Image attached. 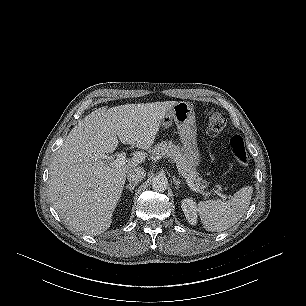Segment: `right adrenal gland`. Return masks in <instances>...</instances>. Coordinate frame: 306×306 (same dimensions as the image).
Segmentation results:
<instances>
[{
	"instance_id": "obj_1",
	"label": "right adrenal gland",
	"mask_w": 306,
	"mask_h": 306,
	"mask_svg": "<svg viewBox=\"0 0 306 306\" xmlns=\"http://www.w3.org/2000/svg\"><path fill=\"white\" fill-rule=\"evenodd\" d=\"M137 184L136 183H130L125 186L126 189H128L131 193H133V190Z\"/></svg>"
}]
</instances>
